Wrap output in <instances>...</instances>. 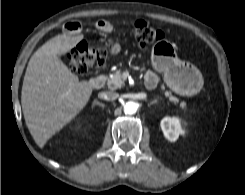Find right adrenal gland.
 <instances>
[{"label":"right adrenal gland","mask_w":245,"mask_h":195,"mask_svg":"<svg viewBox=\"0 0 245 195\" xmlns=\"http://www.w3.org/2000/svg\"><path fill=\"white\" fill-rule=\"evenodd\" d=\"M95 104L101 106L102 108H104V104H102V103H100L98 101H95Z\"/></svg>","instance_id":"right-adrenal-gland-1"}]
</instances>
